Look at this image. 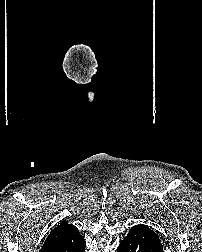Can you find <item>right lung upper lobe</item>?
<instances>
[{
    "instance_id": "right-lung-upper-lobe-1",
    "label": "right lung upper lobe",
    "mask_w": 202,
    "mask_h": 252,
    "mask_svg": "<svg viewBox=\"0 0 202 252\" xmlns=\"http://www.w3.org/2000/svg\"><path fill=\"white\" fill-rule=\"evenodd\" d=\"M84 243L78 228L64 221L50 232L40 252H78Z\"/></svg>"
}]
</instances>
